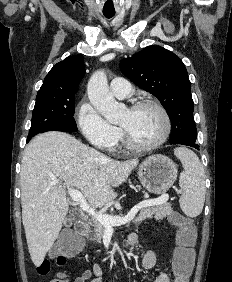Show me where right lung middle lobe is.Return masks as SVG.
Wrapping results in <instances>:
<instances>
[{
	"mask_svg": "<svg viewBox=\"0 0 232 282\" xmlns=\"http://www.w3.org/2000/svg\"><path fill=\"white\" fill-rule=\"evenodd\" d=\"M75 94H37L28 139L57 127L77 131Z\"/></svg>",
	"mask_w": 232,
	"mask_h": 282,
	"instance_id": "dd1d6c3e",
	"label": "right lung middle lobe"
}]
</instances>
